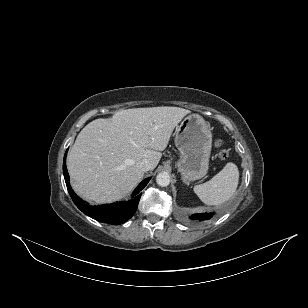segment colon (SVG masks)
<instances>
[{"mask_svg":"<svg viewBox=\"0 0 308 308\" xmlns=\"http://www.w3.org/2000/svg\"><path fill=\"white\" fill-rule=\"evenodd\" d=\"M215 146L218 147V148H220V147L222 146V142H221L220 140H217V141L215 142ZM219 156H220L221 159L224 160V159H226V158L228 157V153H227L226 150L221 149L220 152H219Z\"/></svg>","mask_w":308,"mask_h":308,"instance_id":"5ec220e1","label":"colon"}]
</instances>
